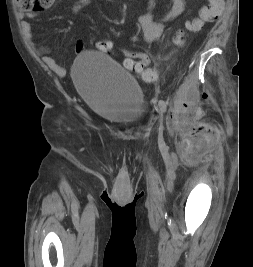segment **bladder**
<instances>
[{
    "label": "bladder",
    "mask_w": 253,
    "mask_h": 267,
    "mask_svg": "<svg viewBox=\"0 0 253 267\" xmlns=\"http://www.w3.org/2000/svg\"><path fill=\"white\" fill-rule=\"evenodd\" d=\"M71 74L77 91L98 116L122 126L141 121L145 92L135 77L110 57L84 51L74 60Z\"/></svg>",
    "instance_id": "bladder-1"
}]
</instances>
